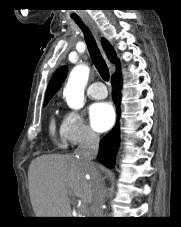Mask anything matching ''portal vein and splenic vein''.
I'll return each instance as SVG.
<instances>
[{"instance_id": "obj_1", "label": "portal vein and splenic vein", "mask_w": 181, "mask_h": 227, "mask_svg": "<svg viewBox=\"0 0 181 227\" xmlns=\"http://www.w3.org/2000/svg\"><path fill=\"white\" fill-rule=\"evenodd\" d=\"M85 209H86V206L82 205L81 210H85Z\"/></svg>"}]
</instances>
